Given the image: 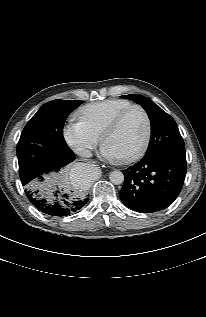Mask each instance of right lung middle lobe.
Returning a JSON list of instances; mask_svg holds the SVG:
<instances>
[{
  "instance_id": "right-lung-middle-lobe-1",
  "label": "right lung middle lobe",
  "mask_w": 206,
  "mask_h": 317,
  "mask_svg": "<svg viewBox=\"0 0 206 317\" xmlns=\"http://www.w3.org/2000/svg\"><path fill=\"white\" fill-rule=\"evenodd\" d=\"M82 103L79 100H52L28 121L17 144L19 175L25 187L33 186L40 192L45 183L35 179L60 170L56 155L59 150L68 149L63 125L68 115Z\"/></svg>"
}]
</instances>
